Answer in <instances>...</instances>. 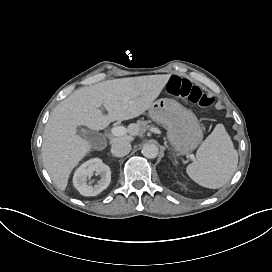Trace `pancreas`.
Wrapping results in <instances>:
<instances>
[{
	"label": "pancreas",
	"mask_w": 272,
	"mask_h": 272,
	"mask_svg": "<svg viewBox=\"0 0 272 272\" xmlns=\"http://www.w3.org/2000/svg\"><path fill=\"white\" fill-rule=\"evenodd\" d=\"M139 125L141 126V129L146 130L148 128V122L142 121L139 122Z\"/></svg>",
	"instance_id": "pancreas-1"
}]
</instances>
